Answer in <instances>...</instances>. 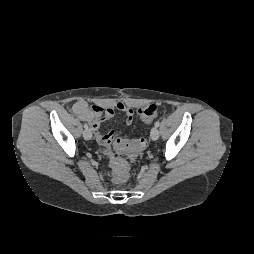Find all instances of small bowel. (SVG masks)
Listing matches in <instances>:
<instances>
[{
	"label": "small bowel",
	"mask_w": 254,
	"mask_h": 254,
	"mask_svg": "<svg viewBox=\"0 0 254 254\" xmlns=\"http://www.w3.org/2000/svg\"><path fill=\"white\" fill-rule=\"evenodd\" d=\"M73 110L81 117L82 120L87 121L93 130L96 139L105 147H109L117 138L119 132L109 131L102 133L100 131L101 124L111 119L114 116L115 110L125 114V124L131 125L133 122V109L119 102L113 107H101L98 105H89L86 101L80 100L74 104Z\"/></svg>",
	"instance_id": "small-bowel-1"
}]
</instances>
